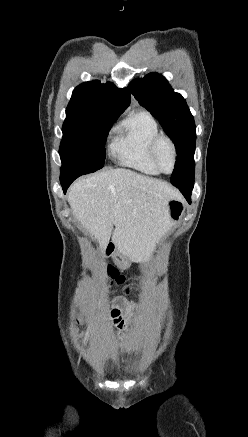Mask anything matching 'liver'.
Masks as SVG:
<instances>
[{"label":"liver","instance_id":"liver-1","mask_svg":"<svg viewBox=\"0 0 248 437\" xmlns=\"http://www.w3.org/2000/svg\"><path fill=\"white\" fill-rule=\"evenodd\" d=\"M179 194L166 182L117 168L75 181L67 200L86 232L106 249L146 261L171 226L168 202ZM115 226V229H113Z\"/></svg>","mask_w":248,"mask_h":437}]
</instances>
